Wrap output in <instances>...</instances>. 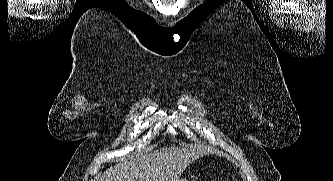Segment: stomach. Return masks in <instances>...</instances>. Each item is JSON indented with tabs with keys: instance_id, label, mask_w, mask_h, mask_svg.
Listing matches in <instances>:
<instances>
[{
	"instance_id": "stomach-1",
	"label": "stomach",
	"mask_w": 333,
	"mask_h": 181,
	"mask_svg": "<svg viewBox=\"0 0 333 181\" xmlns=\"http://www.w3.org/2000/svg\"><path fill=\"white\" fill-rule=\"evenodd\" d=\"M179 181H188L187 179H183V178H181V179H179Z\"/></svg>"
}]
</instances>
